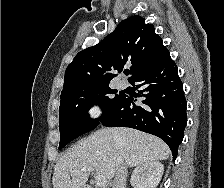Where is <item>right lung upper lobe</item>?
<instances>
[{
  "label": "right lung upper lobe",
  "instance_id": "cb5924a9",
  "mask_svg": "<svg viewBox=\"0 0 224 188\" xmlns=\"http://www.w3.org/2000/svg\"><path fill=\"white\" fill-rule=\"evenodd\" d=\"M144 21L129 17L100 43L80 51L66 69L61 93L107 85L116 76L113 72L128 65L131 80L161 61L169 51L154 26Z\"/></svg>",
  "mask_w": 224,
  "mask_h": 188
}]
</instances>
